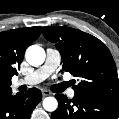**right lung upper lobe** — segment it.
<instances>
[{
	"label": "right lung upper lobe",
	"mask_w": 119,
	"mask_h": 119,
	"mask_svg": "<svg viewBox=\"0 0 119 119\" xmlns=\"http://www.w3.org/2000/svg\"><path fill=\"white\" fill-rule=\"evenodd\" d=\"M41 33V27H29L0 33V91L10 89L11 78L24 58L26 48Z\"/></svg>",
	"instance_id": "1"
}]
</instances>
